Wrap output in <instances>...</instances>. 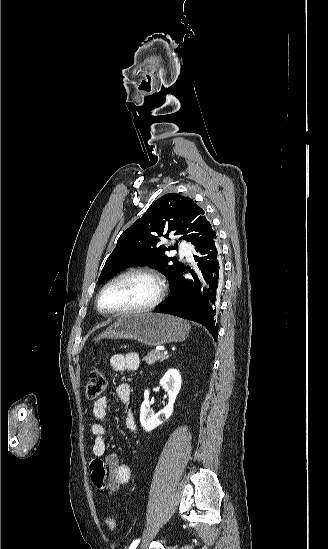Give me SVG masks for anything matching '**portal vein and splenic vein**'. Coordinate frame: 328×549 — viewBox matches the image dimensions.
I'll return each instance as SVG.
<instances>
[{"label":"portal vein and splenic vein","mask_w":328,"mask_h":549,"mask_svg":"<svg viewBox=\"0 0 328 549\" xmlns=\"http://www.w3.org/2000/svg\"><path fill=\"white\" fill-rule=\"evenodd\" d=\"M167 353H168V350H164V355H167Z\"/></svg>","instance_id":"18ae733b"}]
</instances>
